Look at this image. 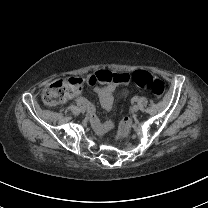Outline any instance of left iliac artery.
Wrapping results in <instances>:
<instances>
[{"label":"left iliac artery","instance_id":"left-iliac-artery-1","mask_svg":"<svg viewBox=\"0 0 208 208\" xmlns=\"http://www.w3.org/2000/svg\"><path fill=\"white\" fill-rule=\"evenodd\" d=\"M132 100H133V101H137V100H138V98H137V97H134Z\"/></svg>","mask_w":208,"mask_h":208}]
</instances>
